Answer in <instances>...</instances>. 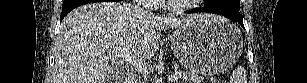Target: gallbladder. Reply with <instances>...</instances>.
I'll use <instances>...</instances> for the list:
<instances>
[{
    "instance_id": "1",
    "label": "gallbladder",
    "mask_w": 307,
    "mask_h": 83,
    "mask_svg": "<svg viewBox=\"0 0 307 83\" xmlns=\"http://www.w3.org/2000/svg\"><path fill=\"white\" fill-rule=\"evenodd\" d=\"M109 79H110V81H107V82H108V83H109V82L112 83L113 77L110 76V73L107 74V80H109Z\"/></svg>"
}]
</instances>
